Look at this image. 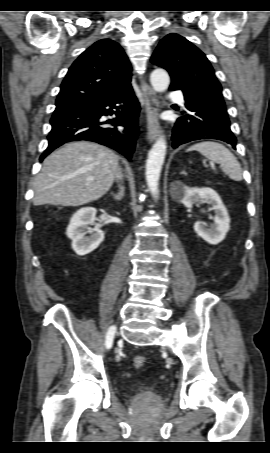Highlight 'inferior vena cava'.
<instances>
[{"label": "inferior vena cava", "instance_id": "inferior-vena-cava-1", "mask_svg": "<svg viewBox=\"0 0 270 453\" xmlns=\"http://www.w3.org/2000/svg\"><path fill=\"white\" fill-rule=\"evenodd\" d=\"M116 178H117V179H121V178H122V174H121L120 169L117 170Z\"/></svg>", "mask_w": 270, "mask_h": 453}]
</instances>
